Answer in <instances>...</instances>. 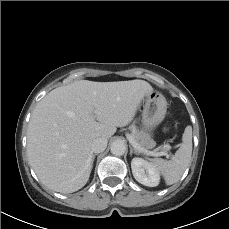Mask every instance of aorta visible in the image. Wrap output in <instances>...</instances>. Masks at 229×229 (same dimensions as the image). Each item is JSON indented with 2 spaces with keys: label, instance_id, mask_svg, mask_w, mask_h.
Instances as JSON below:
<instances>
[{
  "label": "aorta",
  "instance_id": "aorta-1",
  "mask_svg": "<svg viewBox=\"0 0 229 229\" xmlns=\"http://www.w3.org/2000/svg\"><path fill=\"white\" fill-rule=\"evenodd\" d=\"M126 151V145L121 140H116L111 144V153L115 156H122Z\"/></svg>",
  "mask_w": 229,
  "mask_h": 229
}]
</instances>
